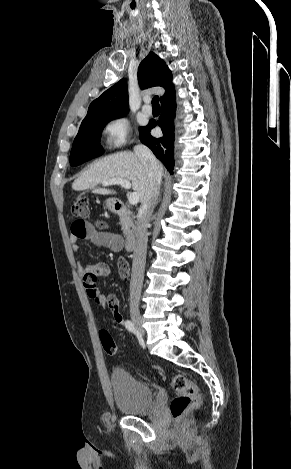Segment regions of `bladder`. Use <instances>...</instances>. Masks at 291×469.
<instances>
[{"label": "bladder", "mask_w": 291, "mask_h": 469, "mask_svg": "<svg viewBox=\"0 0 291 469\" xmlns=\"http://www.w3.org/2000/svg\"><path fill=\"white\" fill-rule=\"evenodd\" d=\"M110 380L114 402L120 412L126 415H138L150 410L154 394L147 383L119 367L112 370Z\"/></svg>", "instance_id": "1"}]
</instances>
